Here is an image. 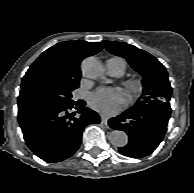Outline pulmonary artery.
Returning a JSON list of instances; mask_svg holds the SVG:
<instances>
[{
    "label": "pulmonary artery",
    "mask_w": 194,
    "mask_h": 193,
    "mask_svg": "<svg viewBox=\"0 0 194 193\" xmlns=\"http://www.w3.org/2000/svg\"><path fill=\"white\" fill-rule=\"evenodd\" d=\"M106 70L111 76H121L125 71V61L122 58H110L105 63Z\"/></svg>",
    "instance_id": "obj_1"
}]
</instances>
